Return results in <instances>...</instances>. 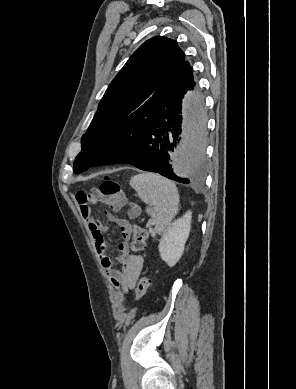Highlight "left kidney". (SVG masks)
Listing matches in <instances>:
<instances>
[{
    "mask_svg": "<svg viewBox=\"0 0 296 389\" xmlns=\"http://www.w3.org/2000/svg\"><path fill=\"white\" fill-rule=\"evenodd\" d=\"M191 219L192 212H186L172 224L160 240L158 249L161 259L170 267L180 260L184 252L191 229Z\"/></svg>",
    "mask_w": 296,
    "mask_h": 389,
    "instance_id": "1",
    "label": "left kidney"
}]
</instances>
